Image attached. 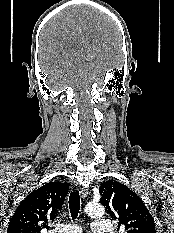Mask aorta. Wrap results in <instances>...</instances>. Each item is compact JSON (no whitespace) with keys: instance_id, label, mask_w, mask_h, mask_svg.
<instances>
[{"instance_id":"aorta-1","label":"aorta","mask_w":174,"mask_h":233,"mask_svg":"<svg viewBox=\"0 0 174 233\" xmlns=\"http://www.w3.org/2000/svg\"><path fill=\"white\" fill-rule=\"evenodd\" d=\"M85 212L91 217H102L105 209L100 204L90 203L85 207Z\"/></svg>"}]
</instances>
